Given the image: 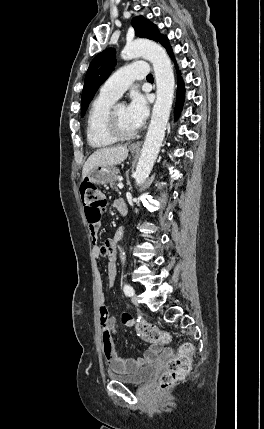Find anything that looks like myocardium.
<instances>
[{
    "label": "myocardium",
    "mask_w": 264,
    "mask_h": 429,
    "mask_svg": "<svg viewBox=\"0 0 264 429\" xmlns=\"http://www.w3.org/2000/svg\"><path fill=\"white\" fill-rule=\"evenodd\" d=\"M117 106L118 105H114L109 110L107 121H106L107 131L117 141L131 140L138 135L139 131L135 130L134 132H131V133H127L123 131L117 118V113H116Z\"/></svg>",
    "instance_id": "myocardium-1"
}]
</instances>
